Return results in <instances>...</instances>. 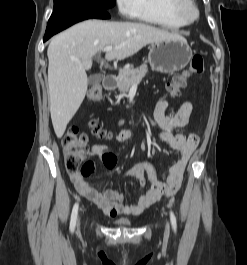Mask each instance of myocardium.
<instances>
[{"label":"myocardium","instance_id":"myocardium-1","mask_svg":"<svg viewBox=\"0 0 247 265\" xmlns=\"http://www.w3.org/2000/svg\"><path fill=\"white\" fill-rule=\"evenodd\" d=\"M173 8L175 13L186 23L194 22L200 16V10L194 0H177Z\"/></svg>","mask_w":247,"mask_h":265}]
</instances>
